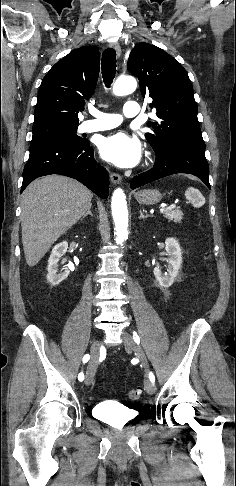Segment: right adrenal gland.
Returning a JSON list of instances; mask_svg holds the SVG:
<instances>
[{"instance_id": "2a0ac1e0", "label": "right adrenal gland", "mask_w": 236, "mask_h": 486, "mask_svg": "<svg viewBox=\"0 0 236 486\" xmlns=\"http://www.w3.org/2000/svg\"><path fill=\"white\" fill-rule=\"evenodd\" d=\"M88 215L92 216L93 217V214L91 213V207L87 210V212L83 215V217L81 218L84 219L85 217H87Z\"/></svg>"}]
</instances>
